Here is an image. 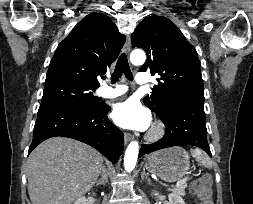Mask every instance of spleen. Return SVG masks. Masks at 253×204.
<instances>
[{
  "instance_id": "obj_1",
  "label": "spleen",
  "mask_w": 253,
  "mask_h": 204,
  "mask_svg": "<svg viewBox=\"0 0 253 204\" xmlns=\"http://www.w3.org/2000/svg\"><path fill=\"white\" fill-rule=\"evenodd\" d=\"M192 156L199 161L203 166L211 168L212 162L211 159L202 152L200 149H193L191 150Z\"/></svg>"
}]
</instances>
